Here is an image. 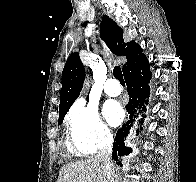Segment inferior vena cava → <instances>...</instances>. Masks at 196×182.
Segmentation results:
<instances>
[{
    "instance_id": "1",
    "label": "inferior vena cava",
    "mask_w": 196,
    "mask_h": 182,
    "mask_svg": "<svg viewBox=\"0 0 196 182\" xmlns=\"http://www.w3.org/2000/svg\"><path fill=\"white\" fill-rule=\"evenodd\" d=\"M112 145L113 137L110 132H103L100 138V146L97 154L95 155L96 159H99L103 162L106 173V182H113L112 174V163L110 162V157L112 154Z\"/></svg>"
}]
</instances>
